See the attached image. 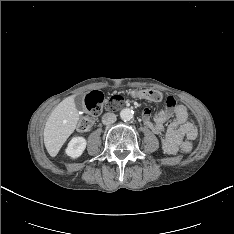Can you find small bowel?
Masks as SVG:
<instances>
[{
  "label": "small bowel",
  "instance_id": "1",
  "mask_svg": "<svg viewBox=\"0 0 234 234\" xmlns=\"http://www.w3.org/2000/svg\"><path fill=\"white\" fill-rule=\"evenodd\" d=\"M172 115L175 116V120L168 126H165ZM142 119L145 125L154 133L164 134L162 147L168 154H175L184 139L194 140L198 135L195 124L188 120L187 108L182 104L176 103L172 96L167 98L165 108L160 110L153 119H151L150 110L144 109L142 111Z\"/></svg>",
  "mask_w": 234,
  "mask_h": 234
}]
</instances>
